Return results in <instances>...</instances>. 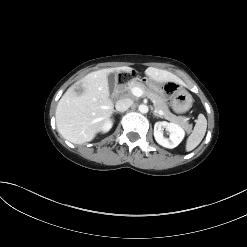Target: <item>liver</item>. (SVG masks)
Returning <instances> with one entry per match:
<instances>
[{
    "label": "liver",
    "instance_id": "obj_1",
    "mask_svg": "<svg viewBox=\"0 0 247 247\" xmlns=\"http://www.w3.org/2000/svg\"><path fill=\"white\" fill-rule=\"evenodd\" d=\"M132 70L123 66L94 71L70 87L59 100L55 113L57 130L61 136L74 144L93 140L114 111L107 75L120 71L130 73ZM145 74L157 83L176 82L184 85L179 77L166 70L149 67ZM78 86L84 90L80 95L76 92Z\"/></svg>",
    "mask_w": 247,
    "mask_h": 247
}]
</instances>
